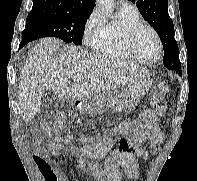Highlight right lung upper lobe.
<instances>
[{"mask_svg":"<svg viewBox=\"0 0 197 181\" xmlns=\"http://www.w3.org/2000/svg\"><path fill=\"white\" fill-rule=\"evenodd\" d=\"M95 1L96 0H33L32 10H49L66 13L92 12Z\"/></svg>","mask_w":197,"mask_h":181,"instance_id":"1","label":"right lung upper lobe"}]
</instances>
